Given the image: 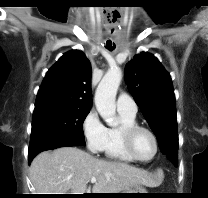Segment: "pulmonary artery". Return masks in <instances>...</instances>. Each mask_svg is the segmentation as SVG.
Returning a JSON list of instances; mask_svg holds the SVG:
<instances>
[{
  "label": "pulmonary artery",
  "instance_id": "obj_1",
  "mask_svg": "<svg viewBox=\"0 0 208 198\" xmlns=\"http://www.w3.org/2000/svg\"><path fill=\"white\" fill-rule=\"evenodd\" d=\"M116 105L119 112H124L130 115H136L138 110L133 98L126 93L119 94Z\"/></svg>",
  "mask_w": 208,
  "mask_h": 198
}]
</instances>
